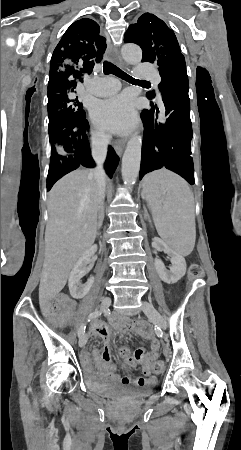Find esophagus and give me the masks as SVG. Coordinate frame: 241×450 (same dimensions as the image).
<instances>
[{
	"label": "esophagus",
	"mask_w": 241,
	"mask_h": 450,
	"mask_svg": "<svg viewBox=\"0 0 241 450\" xmlns=\"http://www.w3.org/2000/svg\"><path fill=\"white\" fill-rule=\"evenodd\" d=\"M110 58L117 64L119 65H123L120 61H119V57L116 56V50L112 49L111 53H110ZM115 151L117 153V155L121 156L123 153V150L125 148V144L123 142H117L114 145Z\"/></svg>",
	"instance_id": "obj_1"
}]
</instances>
